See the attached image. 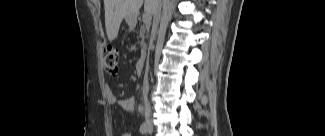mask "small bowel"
<instances>
[{"label":"small bowel","instance_id":"1","mask_svg":"<svg viewBox=\"0 0 325 136\" xmlns=\"http://www.w3.org/2000/svg\"><path fill=\"white\" fill-rule=\"evenodd\" d=\"M106 97L109 104H114L117 101L115 93L109 88L106 90ZM119 103L120 106L127 112H134L136 109V101L132 97L122 99Z\"/></svg>","mask_w":325,"mask_h":136}]
</instances>
